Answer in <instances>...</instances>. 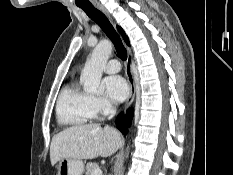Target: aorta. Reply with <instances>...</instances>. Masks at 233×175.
<instances>
[{"label":"aorta","mask_w":233,"mask_h":175,"mask_svg":"<svg viewBox=\"0 0 233 175\" xmlns=\"http://www.w3.org/2000/svg\"><path fill=\"white\" fill-rule=\"evenodd\" d=\"M112 45L109 41H101L93 50L81 74V82L87 93H96L99 89L103 69L110 57Z\"/></svg>","instance_id":"obj_1"}]
</instances>
